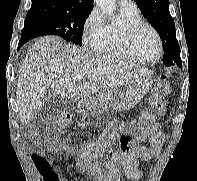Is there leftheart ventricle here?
Returning <instances> with one entry per match:
<instances>
[{"instance_id":"left-heart-ventricle-1","label":"left heart ventricle","mask_w":197,"mask_h":181,"mask_svg":"<svg viewBox=\"0 0 197 181\" xmlns=\"http://www.w3.org/2000/svg\"><path fill=\"white\" fill-rule=\"evenodd\" d=\"M135 48L140 57L146 60L154 59L158 54V43L149 29H142L137 35Z\"/></svg>"}]
</instances>
